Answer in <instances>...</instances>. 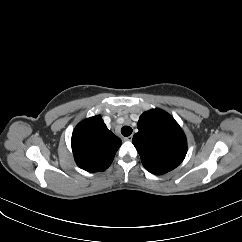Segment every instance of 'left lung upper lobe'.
<instances>
[{"instance_id":"1","label":"left lung upper lobe","mask_w":242,"mask_h":242,"mask_svg":"<svg viewBox=\"0 0 242 242\" xmlns=\"http://www.w3.org/2000/svg\"><path fill=\"white\" fill-rule=\"evenodd\" d=\"M132 143L143 166L156 175L175 169L185 158L187 140L178 123L165 111L144 112L137 124Z\"/></svg>"}]
</instances>
